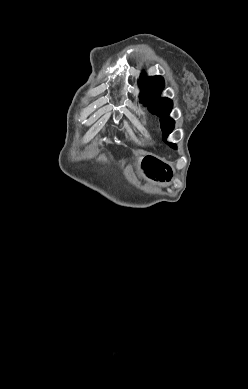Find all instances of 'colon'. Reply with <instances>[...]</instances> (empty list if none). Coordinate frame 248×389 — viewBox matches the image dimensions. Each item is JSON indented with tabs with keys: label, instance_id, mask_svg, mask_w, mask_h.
I'll return each mask as SVG.
<instances>
[{
	"label": "colon",
	"instance_id": "obj_1",
	"mask_svg": "<svg viewBox=\"0 0 248 389\" xmlns=\"http://www.w3.org/2000/svg\"><path fill=\"white\" fill-rule=\"evenodd\" d=\"M142 162L152 178L161 182L167 179L169 171L166 169V161H160L159 157H143Z\"/></svg>",
	"mask_w": 248,
	"mask_h": 389
}]
</instances>
